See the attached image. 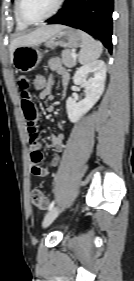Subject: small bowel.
<instances>
[{"mask_svg": "<svg viewBox=\"0 0 134 281\" xmlns=\"http://www.w3.org/2000/svg\"><path fill=\"white\" fill-rule=\"evenodd\" d=\"M48 66L52 71L56 72L60 76L62 86L65 89L69 84L70 76L62 66L60 60L56 57L50 58L48 61ZM16 85L20 90L21 107L27 124L28 132L30 133V170L35 176L45 177L51 173L52 168L59 164L60 153L64 147V137L62 134H53L50 136L51 149L53 150L54 155L52 157L50 166H41L40 163L42 162L44 156L40 151V143L38 141V111L31 91V80L27 75H19L16 79ZM51 85L52 79L49 78L46 89L39 94L41 99H53V95L51 94Z\"/></svg>", "mask_w": 134, "mask_h": 281, "instance_id": "c3829d8e", "label": "small bowel"}]
</instances>
